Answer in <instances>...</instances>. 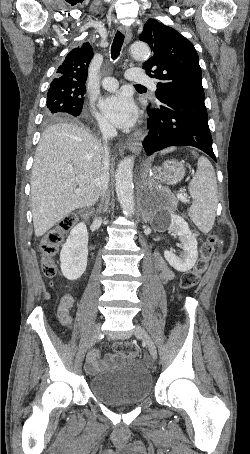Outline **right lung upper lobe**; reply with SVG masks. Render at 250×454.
I'll return each mask as SVG.
<instances>
[{
  "mask_svg": "<svg viewBox=\"0 0 250 454\" xmlns=\"http://www.w3.org/2000/svg\"><path fill=\"white\" fill-rule=\"evenodd\" d=\"M92 57L93 49L88 42L74 48L58 67L57 78L51 82L50 89L71 92L85 88L88 66Z\"/></svg>",
  "mask_w": 250,
  "mask_h": 454,
  "instance_id": "right-lung-upper-lobe-1",
  "label": "right lung upper lobe"
}]
</instances>
